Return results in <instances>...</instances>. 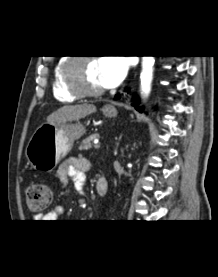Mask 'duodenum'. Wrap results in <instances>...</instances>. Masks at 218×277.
I'll return each instance as SVG.
<instances>
[{"label": "duodenum", "instance_id": "duodenum-1", "mask_svg": "<svg viewBox=\"0 0 218 277\" xmlns=\"http://www.w3.org/2000/svg\"><path fill=\"white\" fill-rule=\"evenodd\" d=\"M95 187H96L97 193L100 196H104L107 194L109 189L108 181L105 178H99L96 182Z\"/></svg>", "mask_w": 218, "mask_h": 277}]
</instances>
